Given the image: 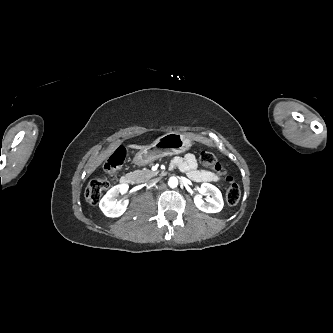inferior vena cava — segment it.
I'll return each instance as SVG.
<instances>
[{
  "instance_id": "602c4592",
  "label": "inferior vena cava",
  "mask_w": 333,
  "mask_h": 333,
  "mask_svg": "<svg viewBox=\"0 0 333 333\" xmlns=\"http://www.w3.org/2000/svg\"><path fill=\"white\" fill-rule=\"evenodd\" d=\"M156 182H157V180H151V181H149L148 184L153 186Z\"/></svg>"
}]
</instances>
